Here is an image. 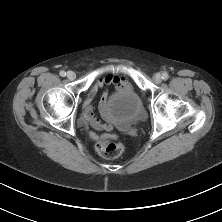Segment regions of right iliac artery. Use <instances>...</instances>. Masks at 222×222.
I'll use <instances>...</instances> for the list:
<instances>
[{
	"instance_id": "82829eb1",
	"label": "right iliac artery",
	"mask_w": 222,
	"mask_h": 222,
	"mask_svg": "<svg viewBox=\"0 0 222 222\" xmlns=\"http://www.w3.org/2000/svg\"><path fill=\"white\" fill-rule=\"evenodd\" d=\"M59 74H60V76L64 77L66 75V72L62 70V71H60Z\"/></svg>"
}]
</instances>
